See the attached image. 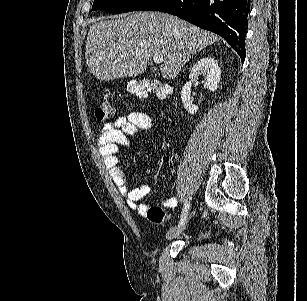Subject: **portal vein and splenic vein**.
Wrapping results in <instances>:
<instances>
[{
  "label": "portal vein and splenic vein",
  "instance_id": "portal-vein-and-splenic-vein-1",
  "mask_svg": "<svg viewBox=\"0 0 307 301\" xmlns=\"http://www.w3.org/2000/svg\"><path fill=\"white\" fill-rule=\"evenodd\" d=\"M121 50H123V48H121ZM153 60L158 64V62H163V56H161V54H154Z\"/></svg>",
  "mask_w": 307,
  "mask_h": 301
}]
</instances>
